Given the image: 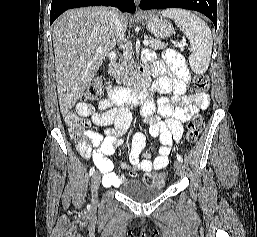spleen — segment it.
I'll return each mask as SVG.
<instances>
[{
    "label": "spleen",
    "instance_id": "spleen-1",
    "mask_svg": "<svg viewBox=\"0 0 257 237\" xmlns=\"http://www.w3.org/2000/svg\"><path fill=\"white\" fill-rule=\"evenodd\" d=\"M161 14L173 19L189 39L193 48L189 56L190 67L194 73L204 74L210 63L213 43L208 25L195 14L182 9H166Z\"/></svg>",
    "mask_w": 257,
    "mask_h": 237
}]
</instances>
